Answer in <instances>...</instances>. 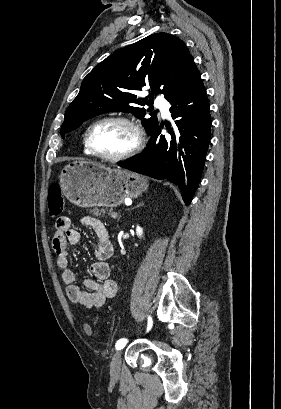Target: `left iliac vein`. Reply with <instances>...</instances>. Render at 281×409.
I'll list each match as a JSON object with an SVG mask.
<instances>
[{
	"label": "left iliac vein",
	"instance_id": "1",
	"mask_svg": "<svg viewBox=\"0 0 281 409\" xmlns=\"http://www.w3.org/2000/svg\"><path fill=\"white\" fill-rule=\"evenodd\" d=\"M121 355L122 351L118 350L113 355L111 365H110V373L112 376H118L121 370Z\"/></svg>",
	"mask_w": 281,
	"mask_h": 409
}]
</instances>
